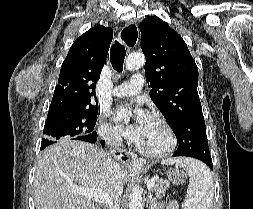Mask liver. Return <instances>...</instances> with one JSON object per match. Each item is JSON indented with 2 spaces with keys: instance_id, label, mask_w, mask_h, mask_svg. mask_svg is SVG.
Returning a JSON list of instances; mask_svg holds the SVG:
<instances>
[{
  "instance_id": "6515ba94",
  "label": "liver",
  "mask_w": 253,
  "mask_h": 209,
  "mask_svg": "<svg viewBox=\"0 0 253 209\" xmlns=\"http://www.w3.org/2000/svg\"><path fill=\"white\" fill-rule=\"evenodd\" d=\"M108 159L99 147L82 141L62 139L46 148L35 170L36 209H97L90 198L73 190L78 187L97 189L113 197ZM119 168L122 190L128 175Z\"/></svg>"
}]
</instances>
